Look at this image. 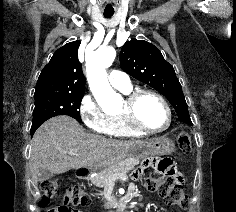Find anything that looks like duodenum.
Returning <instances> with one entry per match:
<instances>
[{"label": "duodenum", "instance_id": "1", "mask_svg": "<svg viewBox=\"0 0 236 212\" xmlns=\"http://www.w3.org/2000/svg\"><path fill=\"white\" fill-rule=\"evenodd\" d=\"M91 174V170L89 168H81L78 170V176L81 179H85ZM132 200V193H129L123 197H121L117 202L114 209V212H126L128 205Z\"/></svg>", "mask_w": 236, "mask_h": 212}]
</instances>
